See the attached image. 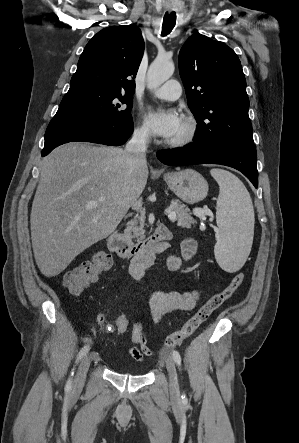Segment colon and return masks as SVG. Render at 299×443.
Returning <instances> with one entry per match:
<instances>
[{"mask_svg": "<svg viewBox=\"0 0 299 443\" xmlns=\"http://www.w3.org/2000/svg\"><path fill=\"white\" fill-rule=\"evenodd\" d=\"M112 263V255L107 251H98L88 262H84L68 271L63 278V284L68 291L74 295H79L86 287L94 282L99 274L106 270ZM245 274L239 272L233 276L230 283L221 291L213 294L198 310L191 316L182 328L168 335L163 342L165 348L170 349L179 345L189 338L195 331L215 312L222 304L232 297L237 289L243 284ZM116 335L130 333L132 345L138 346L145 339L146 334L139 321L128 314L121 312L117 315L112 324Z\"/></svg>", "mask_w": 299, "mask_h": 443, "instance_id": "1", "label": "colon"}]
</instances>
